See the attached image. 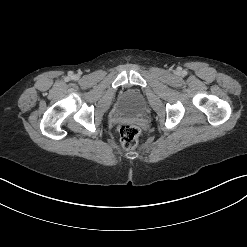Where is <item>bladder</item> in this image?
I'll return each instance as SVG.
<instances>
[{"label": "bladder", "mask_w": 247, "mask_h": 247, "mask_svg": "<svg viewBox=\"0 0 247 247\" xmlns=\"http://www.w3.org/2000/svg\"><path fill=\"white\" fill-rule=\"evenodd\" d=\"M120 109L127 115H139L144 110V97L137 90L126 91L120 102Z\"/></svg>", "instance_id": "bladder-1"}]
</instances>
